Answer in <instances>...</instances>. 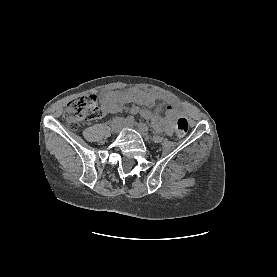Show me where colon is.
Wrapping results in <instances>:
<instances>
[{"instance_id": "5ec220e1", "label": "colon", "mask_w": 277, "mask_h": 277, "mask_svg": "<svg viewBox=\"0 0 277 277\" xmlns=\"http://www.w3.org/2000/svg\"><path fill=\"white\" fill-rule=\"evenodd\" d=\"M100 116V109L97 98L94 95L79 96L68 104L64 113L66 123L77 128L84 121L96 119ZM188 132V121L185 118H179L173 129L176 138L184 137Z\"/></svg>"}]
</instances>
